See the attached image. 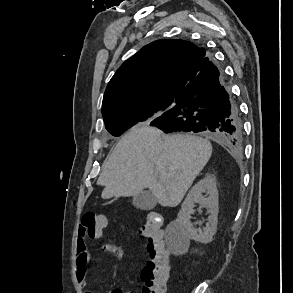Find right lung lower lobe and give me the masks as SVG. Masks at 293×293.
<instances>
[{
	"mask_svg": "<svg viewBox=\"0 0 293 293\" xmlns=\"http://www.w3.org/2000/svg\"><path fill=\"white\" fill-rule=\"evenodd\" d=\"M150 125L166 133L204 132L237 150L242 146L239 108L213 60L178 94L175 105Z\"/></svg>",
	"mask_w": 293,
	"mask_h": 293,
	"instance_id": "right-lung-lower-lobe-1",
	"label": "right lung lower lobe"
}]
</instances>
